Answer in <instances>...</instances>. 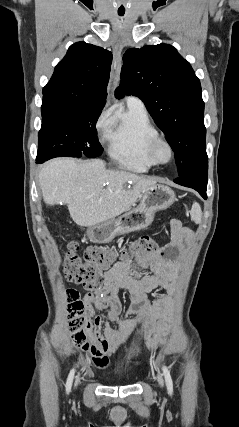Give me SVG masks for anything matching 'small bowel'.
Masks as SVG:
<instances>
[{
  "mask_svg": "<svg viewBox=\"0 0 239 427\" xmlns=\"http://www.w3.org/2000/svg\"><path fill=\"white\" fill-rule=\"evenodd\" d=\"M190 241V232L178 220L172 222L171 242L152 253L135 257V264L121 260L109 268L102 286L87 296L99 309H108L107 320L97 316L89 325L91 361L97 368H106L110 357L125 345L136 333L138 327L148 321L160 320V327L167 329L171 317L172 299L160 297L149 302L147 294L157 288L174 291V278L178 266L179 251ZM149 270L150 273H144ZM120 290L130 293L131 303L127 315L121 318L122 304L117 297ZM134 315L135 318L129 317ZM109 322H116L118 329ZM153 348L154 345L150 344Z\"/></svg>",
  "mask_w": 239,
  "mask_h": 427,
  "instance_id": "obj_1",
  "label": "small bowel"
}]
</instances>
